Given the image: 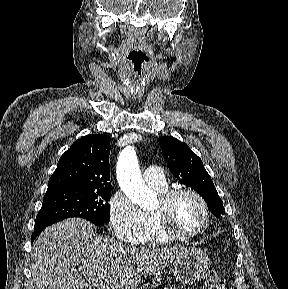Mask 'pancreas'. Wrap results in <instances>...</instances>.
Instances as JSON below:
<instances>
[{"instance_id":"1","label":"pancreas","mask_w":288,"mask_h":289,"mask_svg":"<svg viewBox=\"0 0 288 289\" xmlns=\"http://www.w3.org/2000/svg\"><path fill=\"white\" fill-rule=\"evenodd\" d=\"M165 289H179L176 286H169V288H165Z\"/></svg>"}]
</instances>
